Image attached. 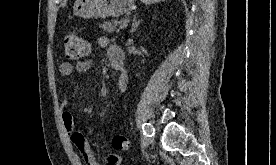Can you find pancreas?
<instances>
[{"label":"pancreas","instance_id":"pancreas-1","mask_svg":"<svg viewBox=\"0 0 276 165\" xmlns=\"http://www.w3.org/2000/svg\"><path fill=\"white\" fill-rule=\"evenodd\" d=\"M117 23H118L117 21H112V22L106 21L103 24H101L99 27L108 33H113L115 31H118V29H116Z\"/></svg>","mask_w":276,"mask_h":165}]
</instances>
